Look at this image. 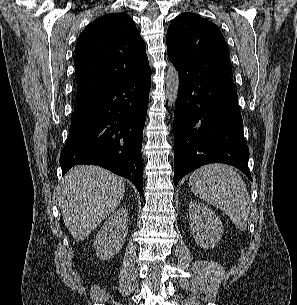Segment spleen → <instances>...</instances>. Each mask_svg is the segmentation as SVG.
Returning <instances> with one entry per match:
<instances>
[{"label":"spleen","instance_id":"spleen-1","mask_svg":"<svg viewBox=\"0 0 297 305\" xmlns=\"http://www.w3.org/2000/svg\"><path fill=\"white\" fill-rule=\"evenodd\" d=\"M189 187L197 197L225 212L241 231L246 229L249 195L243 179L231 167L203 166L191 174Z\"/></svg>","mask_w":297,"mask_h":305}]
</instances>
